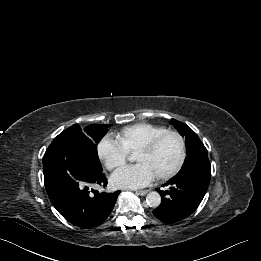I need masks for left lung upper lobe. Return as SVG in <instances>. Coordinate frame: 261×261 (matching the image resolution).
<instances>
[{
  "label": "left lung upper lobe",
  "mask_w": 261,
  "mask_h": 261,
  "mask_svg": "<svg viewBox=\"0 0 261 261\" xmlns=\"http://www.w3.org/2000/svg\"><path fill=\"white\" fill-rule=\"evenodd\" d=\"M171 122L181 136L185 137L187 156L181 170L179 171V173H181L193 167L198 161L207 158V149L190 127L175 119H172Z\"/></svg>",
  "instance_id": "1"
}]
</instances>
